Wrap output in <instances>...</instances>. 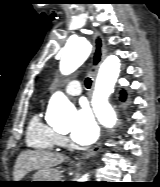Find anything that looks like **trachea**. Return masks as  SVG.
<instances>
[{"instance_id":"3493384b","label":"trachea","mask_w":160,"mask_h":187,"mask_svg":"<svg viewBox=\"0 0 160 187\" xmlns=\"http://www.w3.org/2000/svg\"><path fill=\"white\" fill-rule=\"evenodd\" d=\"M91 85H92V80H91V78H87L86 80H85V86H86V88H90L91 87Z\"/></svg>"}]
</instances>
